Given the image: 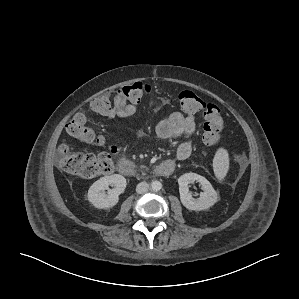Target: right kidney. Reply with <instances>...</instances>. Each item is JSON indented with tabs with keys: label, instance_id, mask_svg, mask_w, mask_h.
I'll list each match as a JSON object with an SVG mask.
<instances>
[{
	"label": "right kidney",
	"instance_id": "1",
	"mask_svg": "<svg viewBox=\"0 0 299 299\" xmlns=\"http://www.w3.org/2000/svg\"><path fill=\"white\" fill-rule=\"evenodd\" d=\"M126 185V179L119 174L101 177L89 188L88 201L98 209L112 208L118 203L119 195L124 192ZM109 186L114 188L109 189Z\"/></svg>",
	"mask_w": 299,
	"mask_h": 299
}]
</instances>
